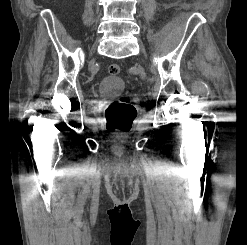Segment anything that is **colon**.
<instances>
[{
	"label": "colon",
	"instance_id": "5ec220e1",
	"mask_svg": "<svg viewBox=\"0 0 247 245\" xmlns=\"http://www.w3.org/2000/svg\"><path fill=\"white\" fill-rule=\"evenodd\" d=\"M111 75H118L120 73V66L118 64H111L108 67ZM136 117V111L130 103L128 96L122 97L109 105L105 111V118L112 130L128 131L133 120Z\"/></svg>",
	"mask_w": 247,
	"mask_h": 245
}]
</instances>
